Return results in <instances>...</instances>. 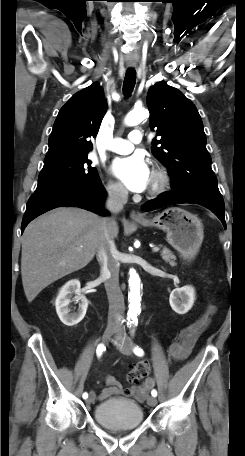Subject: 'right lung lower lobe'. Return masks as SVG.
<instances>
[{
    "label": "right lung lower lobe",
    "instance_id": "1",
    "mask_svg": "<svg viewBox=\"0 0 245 456\" xmlns=\"http://www.w3.org/2000/svg\"><path fill=\"white\" fill-rule=\"evenodd\" d=\"M105 194L101 181L88 187H72L39 194L34 193L27 203L21 232L34 218L62 206L80 207L99 215H109L106 210H101Z\"/></svg>",
    "mask_w": 245,
    "mask_h": 456
}]
</instances>
